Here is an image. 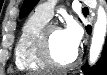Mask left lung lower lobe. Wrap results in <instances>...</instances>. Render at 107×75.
<instances>
[{
    "label": "left lung lower lobe",
    "instance_id": "0a47b994",
    "mask_svg": "<svg viewBox=\"0 0 107 75\" xmlns=\"http://www.w3.org/2000/svg\"><path fill=\"white\" fill-rule=\"evenodd\" d=\"M86 30L88 33L91 32V27L87 26ZM82 71L85 75H107V39L103 49L102 57L93 68H89L88 65L82 67Z\"/></svg>",
    "mask_w": 107,
    "mask_h": 75
}]
</instances>
